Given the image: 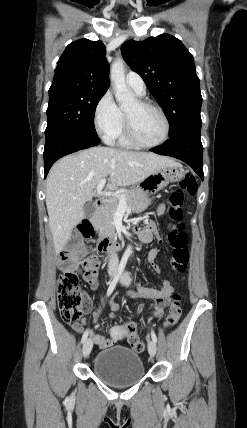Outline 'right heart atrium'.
<instances>
[{
	"mask_svg": "<svg viewBox=\"0 0 247 428\" xmlns=\"http://www.w3.org/2000/svg\"><path fill=\"white\" fill-rule=\"evenodd\" d=\"M93 120L96 131L104 141L111 143L116 140L124 125V117L109 91L98 100Z\"/></svg>",
	"mask_w": 247,
	"mask_h": 428,
	"instance_id": "d8ad5b80",
	"label": "right heart atrium"
}]
</instances>
